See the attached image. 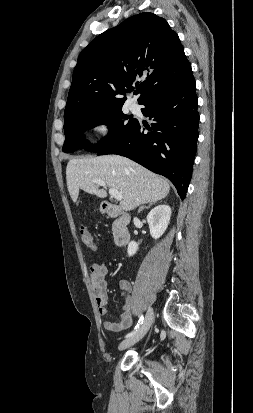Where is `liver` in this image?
I'll list each match as a JSON object with an SVG mask.
<instances>
[{"instance_id": "6515ba94", "label": "liver", "mask_w": 253, "mask_h": 413, "mask_svg": "<svg viewBox=\"0 0 253 413\" xmlns=\"http://www.w3.org/2000/svg\"><path fill=\"white\" fill-rule=\"evenodd\" d=\"M66 180L73 202L77 201L80 189L99 198H106V190L99 189L94 182L103 181L106 186L122 194L120 208L125 211L157 202L170 191L167 180L119 155L71 159L66 167Z\"/></svg>"}]
</instances>
